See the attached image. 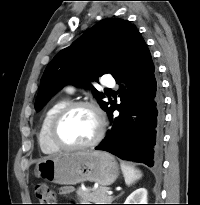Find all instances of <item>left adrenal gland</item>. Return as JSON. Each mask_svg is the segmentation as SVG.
Returning a JSON list of instances; mask_svg holds the SVG:
<instances>
[{
    "label": "left adrenal gland",
    "mask_w": 200,
    "mask_h": 205,
    "mask_svg": "<svg viewBox=\"0 0 200 205\" xmlns=\"http://www.w3.org/2000/svg\"><path fill=\"white\" fill-rule=\"evenodd\" d=\"M122 194H123V192H121V194H119L117 197L121 196ZM117 197H116V198H117Z\"/></svg>",
    "instance_id": "left-adrenal-gland-1"
}]
</instances>
